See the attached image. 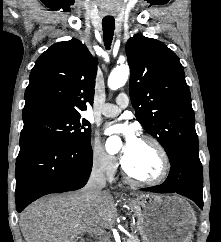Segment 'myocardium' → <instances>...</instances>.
Wrapping results in <instances>:
<instances>
[{
    "label": "myocardium",
    "instance_id": "obj_1",
    "mask_svg": "<svg viewBox=\"0 0 221 242\" xmlns=\"http://www.w3.org/2000/svg\"><path fill=\"white\" fill-rule=\"evenodd\" d=\"M139 140L144 141V142H149L155 148V150L160 158V163H161L160 172L156 177H154L152 179L138 178L129 172V170L127 169V167L125 165L124 160L122 159L121 165H122L123 172H124L127 180H129L130 182H133V183H136L139 185H144V186L157 185V184L161 183L167 177V175L169 173L170 161H169L168 153H167L166 149L164 148V146L156 138H154L152 136L143 135L140 137Z\"/></svg>",
    "mask_w": 221,
    "mask_h": 242
}]
</instances>
